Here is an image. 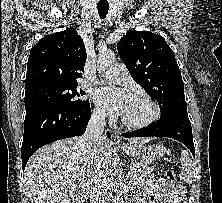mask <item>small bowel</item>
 I'll list each match as a JSON object with an SVG mask.
<instances>
[{
    "label": "small bowel",
    "instance_id": "small-bowel-1",
    "mask_svg": "<svg viewBox=\"0 0 222 203\" xmlns=\"http://www.w3.org/2000/svg\"><path fill=\"white\" fill-rule=\"evenodd\" d=\"M143 195L147 196L149 203H184L185 194L180 186L169 185L163 181H151L144 189ZM139 199L136 203H143Z\"/></svg>",
    "mask_w": 222,
    "mask_h": 203
}]
</instances>
